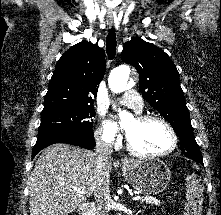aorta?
<instances>
[{"label": "aorta", "mask_w": 221, "mask_h": 215, "mask_svg": "<svg viewBox=\"0 0 221 215\" xmlns=\"http://www.w3.org/2000/svg\"><path fill=\"white\" fill-rule=\"evenodd\" d=\"M130 75V68L128 66H119L111 71L108 84L109 88L114 93H120L128 88V80ZM130 114L126 111L119 110V117L123 120L125 117H129Z\"/></svg>", "instance_id": "762f6f07"}]
</instances>
